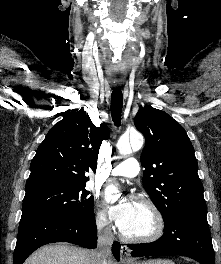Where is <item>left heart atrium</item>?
<instances>
[{
	"instance_id": "1",
	"label": "left heart atrium",
	"mask_w": 221,
	"mask_h": 264,
	"mask_svg": "<svg viewBox=\"0 0 221 264\" xmlns=\"http://www.w3.org/2000/svg\"><path fill=\"white\" fill-rule=\"evenodd\" d=\"M136 203L128 198H122L108 208L109 216L120 229H123L131 220Z\"/></svg>"
}]
</instances>
